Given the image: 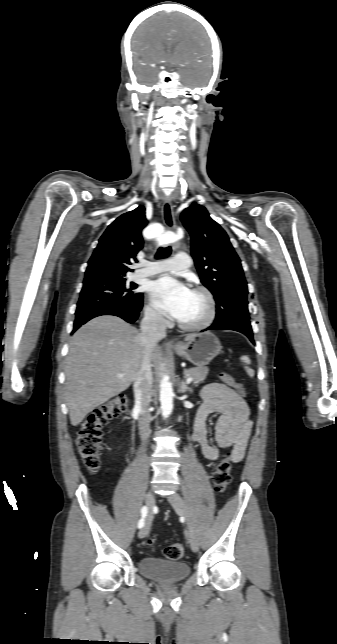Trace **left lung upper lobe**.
Returning a JSON list of instances; mask_svg holds the SVG:
<instances>
[{
    "instance_id": "5c2ea615",
    "label": "left lung upper lobe",
    "mask_w": 337,
    "mask_h": 644,
    "mask_svg": "<svg viewBox=\"0 0 337 644\" xmlns=\"http://www.w3.org/2000/svg\"><path fill=\"white\" fill-rule=\"evenodd\" d=\"M180 219L191 236V254L201 282L216 301L213 324L252 333L247 283L241 261L226 232L203 206L196 203L185 209Z\"/></svg>"
}]
</instances>
